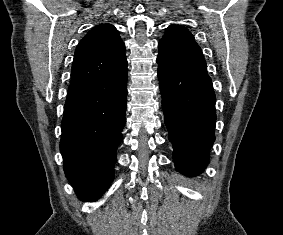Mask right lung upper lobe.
Wrapping results in <instances>:
<instances>
[{"label":"right lung upper lobe","mask_w":283,"mask_h":235,"mask_svg":"<svg viewBox=\"0 0 283 235\" xmlns=\"http://www.w3.org/2000/svg\"><path fill=\"white\" fill-rule=\"evenodd\" d=\"M127 70L125 44L111 24L90 30L78 44L70 89L113 78Z\"/></svg>","instance_id":"right-lung-upper-lobe-1"}]
</instances>
